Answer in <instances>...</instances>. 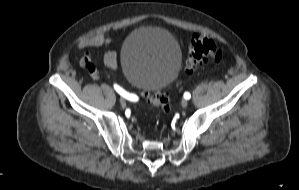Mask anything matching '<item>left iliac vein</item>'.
Listing matches in <instances>:
<instances>
[{"mask_svg": "<svg viewBox=\"0 0 299 190\" xmlns=\"http://www.w3.org/2000/svg\"><path fill=\"white\" fill-rule=\"evenodd\" d=\"M181 105H182L183 108H186L187 105H188V101H187L186 99H183V100L181 101Z\"/></svg>", "mask_w": 299, "mask_h": 190, "instance_id": "1", "label": "left iliac vein"}]
</instances>
